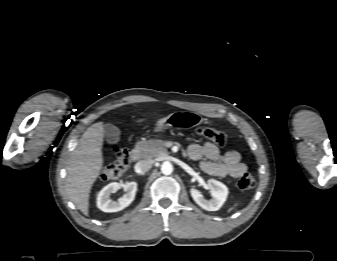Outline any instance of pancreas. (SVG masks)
I'll return each mask as SVG.
<instances>
[{
  "instance_id": "cf45deb5",
  "label": "pancreas",
  "mask_w": 337,
  "mask_h": 261,
  "mask_svg": "<svg viewBox=\"0 0 337 261\" xmlns=\"http://www.w3.org/2000/svg\"><path fill=\"white\" fill-rule=\"evenodd\" d=\"M136 146L140 149L141 157L143 158H154L168 154L164 140L150 139L147 141H140Z\"/></svg>"
}]
</instances>
